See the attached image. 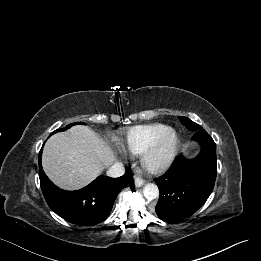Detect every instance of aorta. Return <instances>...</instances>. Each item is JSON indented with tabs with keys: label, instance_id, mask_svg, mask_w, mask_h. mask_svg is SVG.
Here are the masks:
<instances>
[{
	"label": "aorta",
	"instance_id": "aorta-1",
	"mask_svg": "<svg viewBox=\"0 0 261 261\" xmlns=\"http://www.w3.org/2000/svg\"><path fill=\"white\" fill-rule=\"evenodd\" d=\"M143 194L148 200H153L159 197V189L156 184L148 183L143 188Z\"/></svg>",
	"mask_w": 261,
	"mask_h": 261
}]
</instances>
